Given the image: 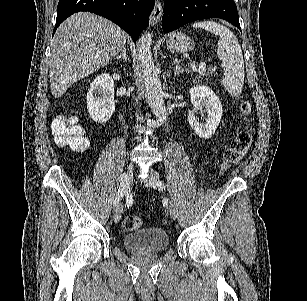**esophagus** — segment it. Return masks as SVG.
Returning a JSON list of instances; mask_svg holds the SVG:
<instances>
[{
	"mask_svg": "<svg viewBox=\"0 0 307 301\" xmlns=\"http://www.w3.org/2000/svg\"><path fill=\"white\" fill-rule=\"evenodd\" d=\"M163 13V8L161 5V2L159 0H156L155 7L153 9V12L150 15V25L154 27L159 22L161 15Z\"/></svg>",
	"mask_w": 307,
	"mask_h": 301,
	"instance_id": "34e87169",
	"label": "esophagus"
}]
</instances>
